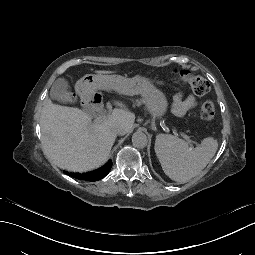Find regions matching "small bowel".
Here are the masks:
<instances>
[{
    "label": "small bowel",
    "instance_id": "obj_1",
    "mask_svg": "<svg viewBox=\"0 0 255 255\" xmlns=\"http://www.w3.org/2000/svg\"><path fill=\"white\" fill-rule=\"evenodd\" d=\"M195 105H196V99L194 98V96L191 95V96L187 97V99L179 105L178 113L183 114L186 111L193 108Z\"/></svg>",
    "mask_w": 255,
    "mask_h": 255
}]
</instances>
